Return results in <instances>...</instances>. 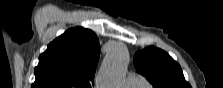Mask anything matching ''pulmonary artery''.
Returning a JSON list of instances; mask_svg holds the SVG:
<instances>
[{
	"instance_id": "1",
	"label": "pulmonary artery",
	"mask_w": 223,
	"mask_h": 88,
	"mask_svg": "<svg viewBox=\"0 0 223 88\" xmlns=\"http://www.w3.org/2000/svg\"><path fill=\"white\" fill-rule=\"evenodd\" d=\"M132 88L143 87L147 85L146 79L138 74H129L126 82Z\"/></svg>"
}]
</instances>
